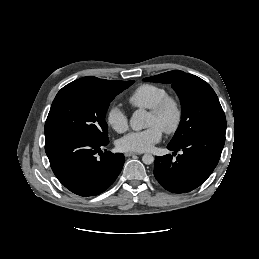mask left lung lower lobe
<instances>
[{"label": "left lung lower lobe", "mask_w": 259, "mask_h": 259, "mask_svg": "<svg viewBox=\"0 0 259 259\" xmlns=\"http://www.w3.org/2000/svg\"><path fill=\"white\" fill-rule=\"evenodd\" d=\"M224 144L225 136L215 133L193 136L177 147L168 144L169 150H181L183 153L176 159L170 154L156 156L154 176L170 192L192 191L211 175L218 164Z\"/></svg>", "instance_id": "1"}]
</instances>
